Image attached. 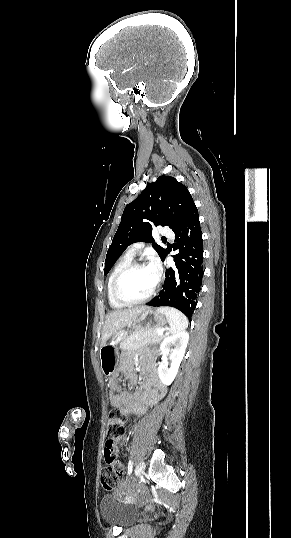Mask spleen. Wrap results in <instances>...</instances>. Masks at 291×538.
Segmentation results:
<instances>
[{"label": "spleen", "instance_id": "obj_1", "mask_svg": "<svg viewBox=\"0 0 291 538\" xmlns=\"http://www.w3.org/2000/svg\"><path fill=\"white\" fill-rule=\"evenodd\" d=\"M157 311L167 317L170 324L169 332L176 334L187 328L188 319L181 311L172 307H160Z\"/></svg>", "mask_w": 291, "mask_h": 538}]
</instances>
